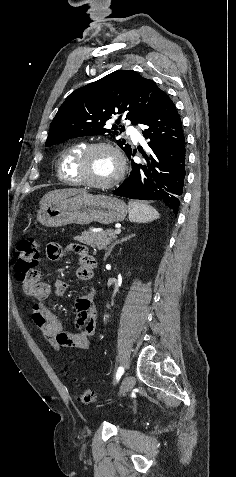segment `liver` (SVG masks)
Wrapping results in <instances>:
<instances>
[{
  "label": "liver",
  "mask_w": 236,
  "mask_h": 477,
  "mask_svg": "<svg viewBox=\"0 0 236 477\" xmlns=\"http://www.w3.org/2000/svg\"><path fill=\"white\" fill-rule=\"evenodd\" d=\"M86 193L85 190L81 189H60V190H53L45 194L41 201H40V207L47 206L49 204H55L58 202H61L67 198L73 197L77 194H83Z\"/></svg>",
  "instance_id": "1"
}]
</instances>
